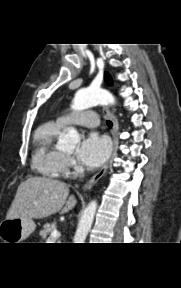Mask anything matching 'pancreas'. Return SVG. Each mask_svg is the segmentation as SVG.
Masks as SVG:
<instances>
[{
  "label": "pancreas",
  "mask_w": 181,
  "mask_h": 288,
  "mask_svg": "<svg viewBox=\"0 0 181 288\" xmlns=\"http://www.w3.org/2000/svg\"><path fill=\"white\" fill-rule=\"evenodd\" d=\"M56 223L53 222V223H46L44 226H43V229L40 231V236L42 238V240H45L47 238V236L49 234L52 233L53 230L56 229Z\"/></svg>",
  "instance_id": "obj_1"
}]
</instances>
